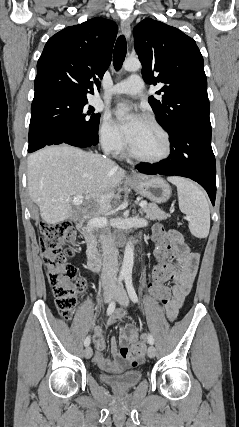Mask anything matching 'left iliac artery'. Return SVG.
<instances>
[{
	"instance_id": "44dca946",
	"label": "left iliac artery",
	"mask_w": 239,
	"mask_h": 427,
	"mask_svg": "<svg viewBox=\"0 0 239 427\" xmlns=\"http://www.w3.org/2000/svg\"><path fill=\"white\" fill-rule=\"evenodd\" d=\"M125 285H126V289H127V292L129 294L130 299L134 303L138 302V297H137V294H136L135 289L133 287L132 277L130 275L125 277ZM148 343L151 345L154 344V338L151 334H149V336H148Z\"/></svg>"
}]
</instances>
